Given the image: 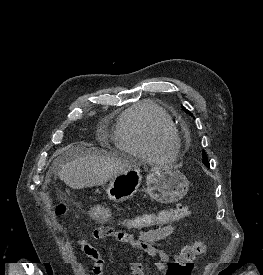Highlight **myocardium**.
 <instances>
[{
    "mask_svg": "<svg viewBox=\"0 0 263 275\" xmlns=\"http://www.w3.org/2000/svg\"><path fill=\"white\" fill-rule=\"evenodd\" d=\"M156 137H157L158 140L163 141V142L178 141V136L172 135V134H169V133H165V132H162V131H157Z\"/></svg>",
    "mask_w": 263,
    "mask_h": 275,
    "instance_id": "myocardium-1",
    "label": "myocardium"
}]
</instances>
